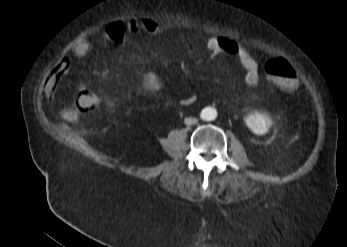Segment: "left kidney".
Returning <instances> with one entry per match:
<instances>
[{
	"label": "left kidney",
	"mask_w": 347,
	"mask_h": 247,
	"mask_svg": "<svg viewBox=\"0 0 347 247\" xmlns=\"http://www.w3.org/2000/svg\"><path fill=\"white\" fill-rule=\"evenodd\" d=\"M245 123L254 134L264 135L269 131L273 121L267 113L255 111L245 117Z\"/></svg>",
	"instance_id": "5707ae66"
}]
</instances>
